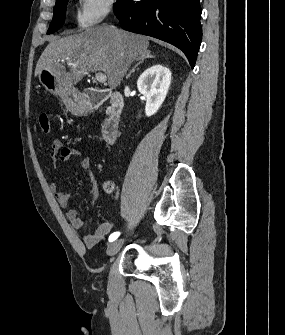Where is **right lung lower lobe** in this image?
<instances>
[{"label": "right lung lower lobe", "instance_id": "right-lung-lower-lobe-1", "mask_svg": "<svg viewBox=\"0 0 285 335\" xmlns=\"http://www.w3.org/2000/svg\"><path fill=\"white\" fill-rule=\"evenodd\" d=\"M114 13L125 30L173 44L195 66L202 39L199 0H117Z\"/></svg>", "mask_w": 285, "mask_h": 335}]
</instances>
